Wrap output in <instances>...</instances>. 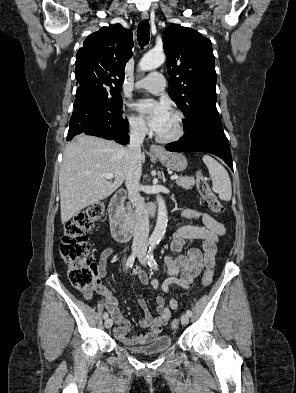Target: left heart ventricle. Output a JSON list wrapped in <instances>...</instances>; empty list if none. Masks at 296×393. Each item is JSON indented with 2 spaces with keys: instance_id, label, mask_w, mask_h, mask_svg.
<instances>
[{
  "instance_id": "b2bd125f",
  "label": "left heart ventricle",
  "mask_w": 296,
  "mask_h": 393,
  "mask_svg": "<svg viewBox=\"0 0 296 393\" xmlns=\"http://www.w3.org/2000/svg\"><path fill=\"white\" fill-rule=\"evenodd\" d=\"M176 125V118L172 114H170L167 121L165 122L161 130L157 132V134L161 136H169L175 131Z\"/></svg>"
}]
</instances>
